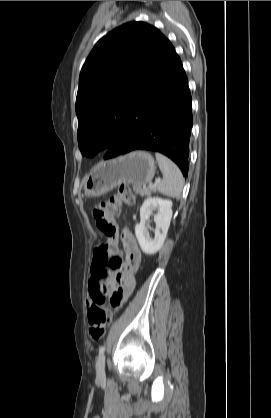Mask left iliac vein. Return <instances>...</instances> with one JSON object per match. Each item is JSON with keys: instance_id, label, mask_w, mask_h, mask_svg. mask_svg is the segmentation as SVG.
Returning a JSON list of instances; mask_svg holds the SVG:
<instances>
[{"instance_id": "4c4485c4", "label": "left iliac vein", "mask_w": 271, "mask_h": 418, "mask_svg": "<svg viewBox=\"0 0 271 418\" xmlns=\"http://www.w3.org/2000/svg\"><path fill=\"white\" fill-rule=\"evenodd\" d=\"M96 375L99 381L105 379V355L102 354L99 356L96 362Z\"/></svg>"}]
</instances>
